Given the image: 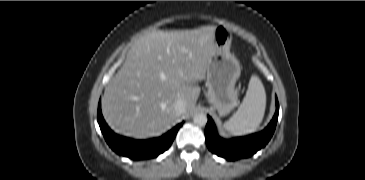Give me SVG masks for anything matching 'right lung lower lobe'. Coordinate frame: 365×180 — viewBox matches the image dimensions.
I'll use <instances>...</instances> for the list:
<instances>
[{"label":"right lung lower lobe","mask_w":365,"mask_h":180,"mask_svg":"<svg viewBox=\"0 0 365 180\" xmlns=\"http://www.w3.org/2000/svg\"><path fill=\"white\" fill-rule=\"evenodd\" d=\"M97 119L102 134L112 150L133 160L153 158L163 153L170 147L177 131L183 125V123L178 124L172 130L156 139L134 140L119 136L108 127L102 116L101 101L98 104Z\"/></svg>","instance_id":"98d812e1"}]
</instances>
